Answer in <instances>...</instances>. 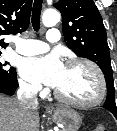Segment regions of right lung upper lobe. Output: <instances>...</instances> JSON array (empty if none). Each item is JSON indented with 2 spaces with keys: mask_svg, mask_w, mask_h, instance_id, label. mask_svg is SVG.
<instances>
[{
  "mask_svg": "<svg viewBox=\"0 0 117 131\" xmlns=\"http://www.w3.org/2000/svg\"><path fill=\"white\" fill-rule=\"evenodd\" d=\"M32 0H0V50L4 36L25 31L29 26ZM1 52V51H0Z\"/></svg>",
  "mask_w": 117,
  "mask_h": 131,
  "instance_id": "obj_1",
  "label": "right lung upper lobe"
}]
</instances>
